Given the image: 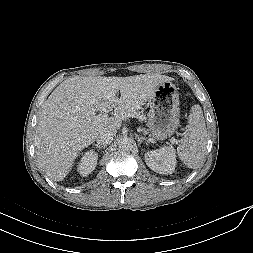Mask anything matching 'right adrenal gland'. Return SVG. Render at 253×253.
<instances>
[{
    "label": "right adrenal gland",
    "instance_id": "obj_1",
    "mask_svg": "<svg viewBox=\"0 0 253 253\" xmlns=\"http://www.w3.org/2000/svg\"><path fill=\"white\" fill-rule=\"evenodd\" d=\"M96 148H99V149H104L106 147V145H98V144H93Z\"/></svg>",
    "mask_w": 253,
    "mask_h": 253
}]
</instances>
